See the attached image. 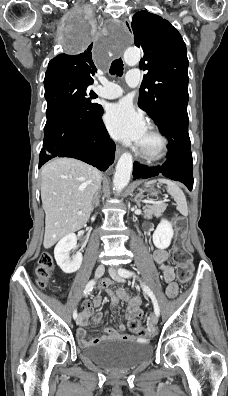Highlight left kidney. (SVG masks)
I'll return each mask as SVG.
<instances>
[{
	"label": "left kidney",
	"mask_w": 228,
	"mask_h": 396,
	"mask_svg": "<svg viewBox=\"0 0 228 396\" xmlns=\"http://www.w3.org/2000/svg\"><path fill=\"white\" fill-rule=\"evenodd\" d=\"M174 231L170 222L162 219L153 233L154 245L159 249H166L170 246Z\"/></svg>",
	"instance_id": "1"
}]
</instances>
